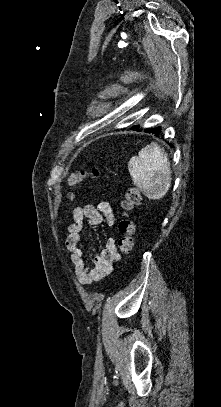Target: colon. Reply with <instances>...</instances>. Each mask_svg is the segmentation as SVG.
Here are the masks:
<instances>
[{
  "label": "colon",
  "instance_id": "colon-1",
  "mask_svg": "<svg viewBox=\"0 0 221 407\" xmlns=\"http://www.w3.org/2000/svg\"><path fill=\"white\" fill-rule=\"evenodd\" d=\"M100 171L98 168L93 167L91 170H78L73 173L69 178V185L75 186L83 182L87 178L98 179ZM141 202V194L136 187H129L126 190L124 199L121 203V218L119 221L120 237L118 240L119 252L122 255L128 256L132 253L134 247L135 237V223L130 217L131 210L139 205ZM111 261H117L118 259L111 258Z\"/></svg>",
  "mask_w": 221,
  "mask_h": 407
}]
</instances>
